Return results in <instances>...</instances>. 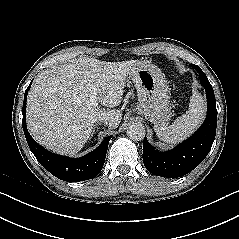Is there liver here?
Here are the masks:
<instances>
[{"instance_id": "obj_1", "label": "liver", "mask_w": 239, "mask_h": 239, "mask_svg": "<svg viewBox=\"0 0 239 239\" xmlns=\"http://www.w3.org/2000/svg\"><path fill=\"white\" fill-rule=\"evenodd\" d=\"M135 60L106 62L80 57L40 73L27 99V127L32 137L58 154L76 155L90 138L96 118H111L108 126L118 127L122 119L117 107L123 98L125 80ZM95 89L101 109L90 103Z\"/></svg>"}]
</instances>
